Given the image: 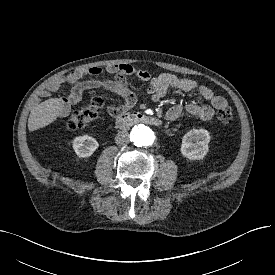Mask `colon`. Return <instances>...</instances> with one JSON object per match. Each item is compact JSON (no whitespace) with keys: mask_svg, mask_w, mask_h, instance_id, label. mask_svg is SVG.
Segmentation results:
<instances>
[{"mask_svg":"<svg viewBox=\"0 0 275 275\" xmlns=\"http://www.w3.org/2000/svg\"><path fill=\"white\" fill-rule=\"evenodd\" d=\"M103 101L98 96H93L90 102L83 108L74 111L67 120L66 126L70 130L84 128L95 119L101 112ZM218 119L224 124H229L233 120V111L229 106L218 110Z\"/></svg>","mask_w":275,"mask_h":275,"instance_id":"colon-1","label":"colon"}]
</instances>
